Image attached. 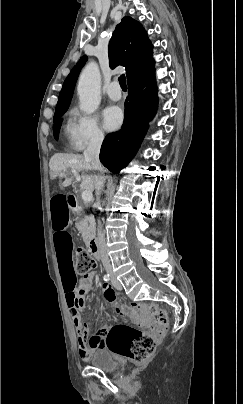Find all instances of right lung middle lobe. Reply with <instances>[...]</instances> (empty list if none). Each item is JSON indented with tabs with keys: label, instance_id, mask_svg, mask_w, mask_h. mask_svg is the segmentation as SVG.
I'll return each mask as SVG.
<instances>
[{
	"label": "right lung middle lobe",
	"instance_id": "right-lung-middle-lobe-1",
	"mask_svg": "<svg viewBox=\"0 0 243 404\" xmlns=\"http://www.w3.org/2000/svg\"><path fill=\"white\" fill-rule=\"evenodd\" d=\"M68 107H64L61 109H58L55 111L54 114V118H53V132H54V137L55 139H58V135H59V130H60V126H61V117L63 116V114L67 111Z\"/></svg>",
	"mask_w": 243,
	"mask_h": 404
}]
</instances>
